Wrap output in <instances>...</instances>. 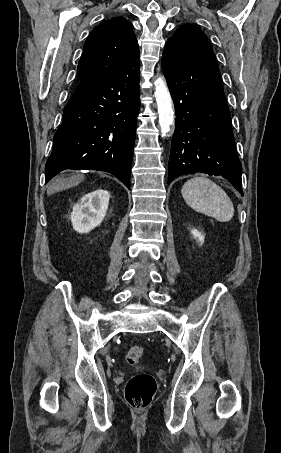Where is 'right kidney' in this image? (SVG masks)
I'll use <instances>...</instances> for the list:
<instances>
[{"mask_svg": "<svg viewBox=\"0 0 281 453\" xmlns=\"http://www.w3.org/2000/svg\"><path fill=\"white\" fill-rule=\"evenodd\" d=\"M110 194L108 190L97 188L82 196L80 202H76L70 214L72 227L77 233H88L98 227L106 216Z\"/></svg>", "mask_w": 281, "mask_h": 453, "instance_id": "obj_1", "label": "right kidney"}]
</instances>
